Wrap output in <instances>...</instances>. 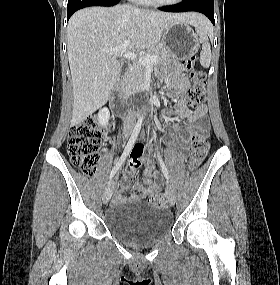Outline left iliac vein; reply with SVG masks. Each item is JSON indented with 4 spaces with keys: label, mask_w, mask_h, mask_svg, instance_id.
<instances>
[{
    "label": "left iliac vein",
    "mask_w": 280,
    "mask_h": 285,
    "mask_svg": "<svg viewBox=\"0 0 280 285\" xmlns=\"http://www.w3.org/2000/svg\"><path fill=\"white\" fill-rule=\"evenodd\" d=\"M166 195L169 204L173 206L175 204V194L170 184H167L166 186Z\"/></svg>",
    "instance_id": "4c4485c4"
}]
</instances>
